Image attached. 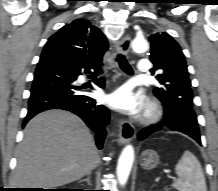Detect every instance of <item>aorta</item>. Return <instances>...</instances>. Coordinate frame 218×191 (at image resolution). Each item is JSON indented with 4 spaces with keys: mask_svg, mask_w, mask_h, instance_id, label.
I'll use <instances>...</instances> for the list:
<instances>
[{
    "mask_svg": "<svg viewBox=\"0 0 218 191\" xmlns=\"http://www.w3.org/2000/svg\"><path fill=\"white\" fill-rule=\"evenodd\" d=\"M132 49L136 53L145 52L148 49V43L144 38H135L131 43ZM134 161V148L132 145H127L123 150L118 160L117 176L121 185H124L129 177Z\"/></svg>",
    "mask_w": 218,
    "mask_h": 191,
    "instance_id": "762f6f07",
    "label": "aorta"
}]
</instances>
